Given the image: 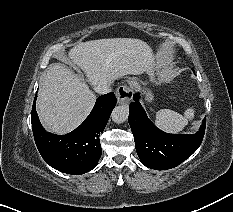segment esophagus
Instances as JSON below:
<instances>
[{
    "label": "esophagus",
    "instance_id": "1",
    "mask_svg": "<svg viewBox=\"0 0 233 212\" xmlns=\"http://www.w3.org/2000/svg\"><path fill=\"white\" fill-rule=\"evenodd\" d=\"M117 102L119 104H128L133 97V90L126 86H119L116 90Z\"/></svg>",
    "mask_w": 233,
    "mask_h": 212
}]
</instances>
